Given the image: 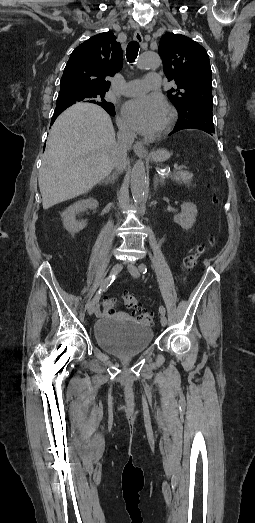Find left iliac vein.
I'll use <instances>...</instances> for the list:
<instances>
[{
	"mask_svg": "<svg viewBox=\"0 0 255 523\" xmlns=\"http://www.w3.org/2000/svg\"><path fill=\"white\" fill-rule=\"evenodd\" d=\"M128 270L129 272L131 273V275L134 277V278H138L140 276V272H139V269L134 265V264H129L128 265ZM160 322H161V325L162 326H166L167 324V318L162 315L161 316V319H160Z\"/></svg>",
	"mask_w": 255,
	"mask_h": 523,
	"instance_id": "left-iliac-vein-1",
	"label": "left iliac vein"
}]
</instances>
